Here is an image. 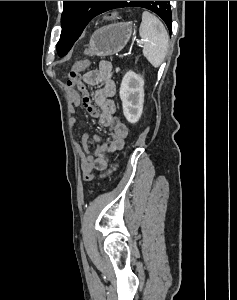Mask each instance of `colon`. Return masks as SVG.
I'll list each match as a JSON object with an SVG mask.
<instances>
[{
    "label": "colon",
    "mask_w": 237,
    "mask_h": 300,
    "mask_svg": "<svg viewBox=\"0 0 237 300\" xmlns=\"http://www.w3.org/2000/svg\"><path fill=\"white\" fill-rule=\"evenodd\" d=\"M118 16L117 13L115 12H111L108 13L103 19L104 20H113L116 19ZM89 65V61L88 60H81L76 62L72 69L70 70L69 74H68V78H67V82L69 86H77L80 83V72L82 70H84L85 68H87V66ZM85 181H92L94 179V175L92 173H84L83 176Z\"/></svg>",
    "instance_id": "obj_1"
}]
</instances>
